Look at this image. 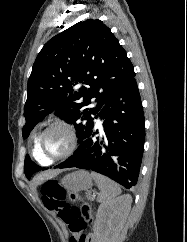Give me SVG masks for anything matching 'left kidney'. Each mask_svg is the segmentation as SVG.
<instances>
[{"instance_id":"5707ae66","label":"left kidney","mask_w":187,"mask_h":242,"mask_svg":"<svg viewBox=\"0 0 187 242\" xmlns=\"http://www.w3.org/2000/svg\"><path fill=\"white\" fill-rule=\"evenodd\" d=\"M131 203V195H122L99 206L93 227L97 242H116L131 209Z\"/></svg>"}]
</instances>
